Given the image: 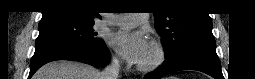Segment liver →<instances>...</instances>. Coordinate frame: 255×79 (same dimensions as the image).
<instances>
[{"label": "liver", "instance_id": "liver-1", "mask_svg": "<svg viewBox=\"0 0 255 79\" xmlns=\"http://www.w3.org/2000/svg\"><path fill=\"white\" fill-rule=\"evenodd\" d=\"M100 72L84 63L58 60L41 67L33 79H100Z\"/></svg>", "mask_w": 255, "mask_h": 79}]
</instances>
